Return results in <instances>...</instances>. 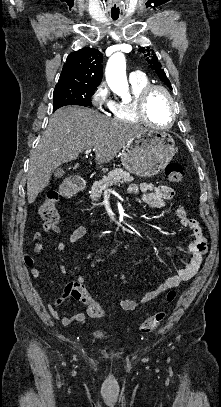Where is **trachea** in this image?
<instances>
[{"label":"trachea","mask_w":221,"mask_h":407,"mask_svg":"<svg viewBox=\"0 0 221 407\" xmlns=\"http://www.w3.org/2000/svg\"><path fill=\"white\" fill-rule=\"evenodd\" d=\"M112 19H113V20H117V19H118V16H112Z\"/></svg>","instance_id":"trachea-1"}]
</instances>
